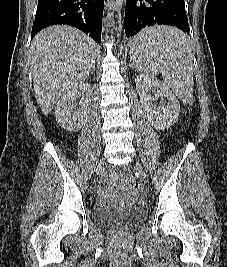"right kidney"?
<instances>
[{"instance_id":"right-kidney-1","label":"right kidney","mask_w":227,"mask_h":267,"mask_svg":"<svg viewBox=\"0 0 227 267\" xmlns=\"http://www.w3.org/2000/svg\"><path fill=\"white\" fill-rule=\"evenodd\" d=\"M91 93V85L82 83L61 97L55 107V116L62 128L70 132L81 129L88 116ZM78 98L81 101L79 102V108H76L74 102Z\"/></svg>"}]
</instances>
